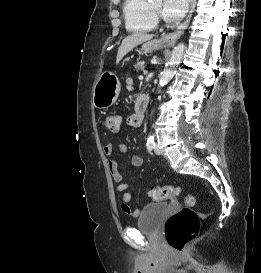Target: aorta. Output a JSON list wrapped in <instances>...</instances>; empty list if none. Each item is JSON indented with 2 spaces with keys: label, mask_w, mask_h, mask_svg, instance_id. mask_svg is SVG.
<instances>
[{
  "label": "aorta",
  "mask_w": 261,
  "mask_h": 273,
  "mask_svg": "<svg viewBox=\"0 0 261 273\" xmlns=\"http://www.w3.org/2000/svg\"><path fill=\"white\" fill-rule=\"evenodd\" d=\"M184 50H185L184 43H180L176 47H174L171 53L170 60L167 63L165 69L161 73L159 79V86H164L172 78L173 74L175 73L176 67L182 61Z\"/></svg>",
  "instance_id": "762f6f07"
}]
</instances>
